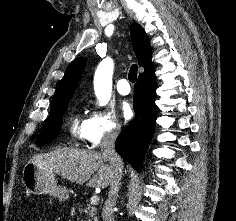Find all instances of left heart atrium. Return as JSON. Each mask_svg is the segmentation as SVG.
<instances>
[{
    "instance_id": "obj_1",
    "label": "left heart atrium",
    "mask_w": 236,
    "mask_h": 221,
    "mask_svg": "<svg viewBox=\"0 0 236 221\" xmlns=\"http://www.w3.org/2000/svg\"><path fill=\"white\" fill-rule=\"evenodd\" d=\"M120 110H121V114L125 120H129L132 118L133 109H132V106L130 105V103H128L127 101H123L120 105Z\"/></svg>"
}]
</instances>
